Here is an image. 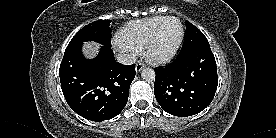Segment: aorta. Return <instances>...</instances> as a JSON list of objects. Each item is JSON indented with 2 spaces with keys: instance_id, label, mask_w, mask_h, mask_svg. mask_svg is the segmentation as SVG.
<instances>
[{
  "instance_id": "1",
  "label": "aorta",
  "mask_w": 276,
  "mask_h": 138,
  "mask_svg": "<svg viewBox=\"0 0 276 138\" xmlns=\"http://www.w3.org/2000/svg\"><path fill=\"white\" fill-rule=\"evenodd\" d=\"M141 77L147 82H152L155 80V72L151 68H144L141 72Z\"/></svg>"
}]
</instances>
